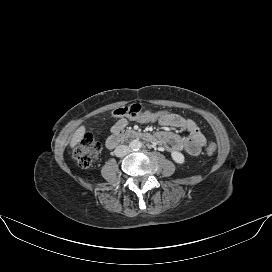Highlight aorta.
<instances>
[{"label": "aorta", "mask_w": 272, "mask_h": 272, "mask_svg": "<svg viewBox=\"0 0 272 272\" xmlns=\"http://www.w3.org/2000/svg\"><path fill=\"white\" fill-rule=\"evenodd\" d=\"M129 147L136 151V150H139L141 147H142V143L139 141V140H132L130 143H129Z\"/></svg>", "instance_id": "obj_1"}]
</instances>
